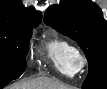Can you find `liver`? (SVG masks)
Wrapping results in <instances>:
<instances>
[{
	"instance_id": "obj_1",
	"label": "liver",
	"mask_w": 107,
	"mask_h": 89,
	"mask_svg": "<svg viewBox=\"0 0 107 89\" xmlns=\"http://www.w3.org/2000/svg\"><path fill=\"white\" fill-rule=\"evenodd\" d=\"M9 89H70L68 86L48 77H38L10 86Z\"/></svg>"
}]
</instances>
